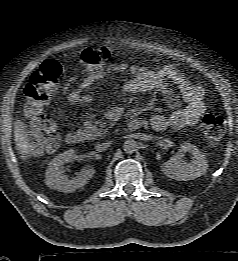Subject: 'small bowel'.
<instances>
[{
    "mask_svg": "<svg viewBox=\"0 0 238 261\" xmlns=\"http://www.w3.org/2000/svg\"><path fill=\"white\" fill-rule=\"evenodd\" d=\"M110 69L115 73L128 72L131 74L132 79L124 87L125 91L131 94L147 93L162 89L166 81L176 85L186 105L183 108L174 109L168 116L163 114L153 115L150 119V125L156 131H164L169 127L181 129L193 126L206 110L203 87L193 84L173 66L165 65L157 69H145L138 65L118 62L114 63ZM97 78L95 75L85 78L80 83L78 89L70 93L69 100L75 104H89L92 97L88 94H83V92L87 91Z\"/></svg>",
    "mask_w": 238,
    "mask_h": 261,
    "instance_id": "c3829d8e",
    "label": "small bowel"
}]
</instances>
